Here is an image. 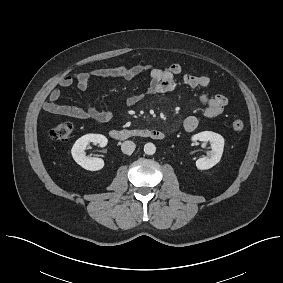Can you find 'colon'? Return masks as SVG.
Masks as SVG:
<instances>
[{
	"instance_id": "colon-1",
	"label": "colon",
	"mask_w": 283,
	"mask_h": 283,
	"mask_svg": "<svg viewBox=\"0 0 283 283\" xmlns=\"http://www.w3.org/2000/svg\"><path fill=\"white\" fill-rule=\"evenodd\" d=\"M244 122L241 119H235L232 122V128L235 131H241L244 129ZM73 132V125L70 122H61L55 125L51 131L50 136L55 141L65 142L68 141Z\"/></svg>"
}]
</instances>
